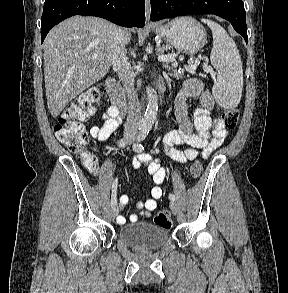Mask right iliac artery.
I'll return each mask as SVG.
<instances>
[{
  "label": "right iliac artery",
  "mask_w": 288,
  "mask_h": 293,
  "mask_svg": "<svg viewBox=\"0 0 288 293\" xmlns=\"http://www.w3.org/2000/svg\"><path fill=\"white\" fill-rule=\"evenodd\" d=\"M126 144H127V142H126L125 139H120L118 141V146L121 147V148H124L126 146ZM117 184H118V179H115L113 184H112L111 207H114L117 204V199H116Z\"/></svg>",
  "instance_id": "obj_1"
}]
</instances>
